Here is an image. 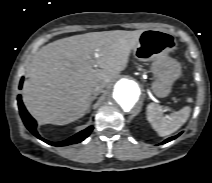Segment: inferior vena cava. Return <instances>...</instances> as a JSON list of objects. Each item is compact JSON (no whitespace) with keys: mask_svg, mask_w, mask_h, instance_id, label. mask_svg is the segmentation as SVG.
<instances>
[{"mask_svg":"<svg viewBox=\"0 0 212 183\" xmlns=\"http://www.w3.org/2000/svg\"><path fill=\"white\" fill-rule=\"evenodd\" d=\"M103 88H104L103 84L96 85L92 90V94H94V95L100 94L102 92Z\"/></svg>","mask_w":212,"mask_h":183,"instance_id":"602c4592","label":"inferior vena cava"}]
</instances>
